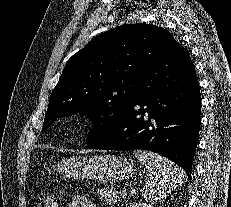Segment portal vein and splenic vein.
<instances>
[{
    "mask_svg": "<svg viewBox=\"0 0 231 207\" xmlns=\"http://www.w3.org/2000/svg\"><path fill=\"white\" fill-rule=\"evenodd\" d=\"M120 193H121V196H126L127 195L126 190H122V192H120Z\"/></svg>",
    "mask_w": 231,
    "mask_h": 207,
    "instance_id": "portal-vein-and-splenic-vein-1",
    "label": "portal vein and splenic vein"
}]
</instances>
